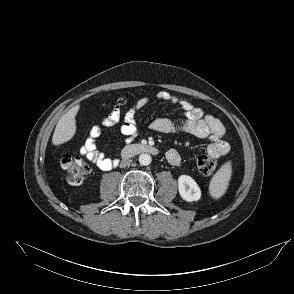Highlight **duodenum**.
<instances>
[{
  "label": "duodenum",
  "instance_id": "duodenum-1",
  "mask_svg": "<svg viewBox=\"0 0 294 294\" xmlns=\"http://www.w3.org/2000/svg\"><path fill=\"white\" fill-rule=\"evenodd\" d=\"M141 153L157 154L158 150L155 147L148 144H132L123 149L121 157L122 159L127 160Z\"/></svg>",
  "mask_w": 294,
  "mask_h": 294
}]
</instances>
